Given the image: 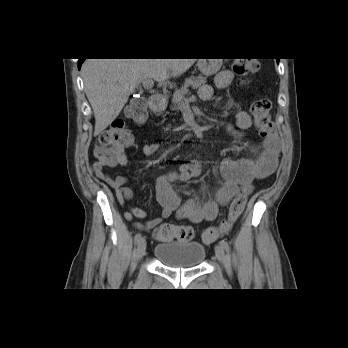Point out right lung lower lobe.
<instances>
[{
    "mask_svg": "<svg viewBox=\"0 0 348 348\" xmlns=\"http://www.w3.org/2000/svg\"><path fill=\"white\" fill-rule=\"evenodd\" d=\"M85 59H79V62H78V68L80 69L81 68V65L82 63L84 62Z\"/></svg>",
    "mask_w": 348,
    "mask_h": 348,
    "instance_id": "right-lung-lower-lobe-1",
    "label": "right lung lower lobe"
}]
</instances>
